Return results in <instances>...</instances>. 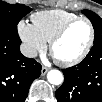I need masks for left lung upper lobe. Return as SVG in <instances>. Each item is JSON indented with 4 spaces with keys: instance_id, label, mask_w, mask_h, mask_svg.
<instances>
[{
    "instance_id": "obj_1",
    "label": "left lung upper lobe",
    "mask_w": 102,
    "mask_h": 102,
    "mask_svg": "<svg viewBox=\"0 0 102 102\" xmlns=\"http://www.w3.org/2000/svg\"><path fill=\"white\" fill-rule=\"evenodd\" d=\"M82 13H84L90 19L94 27V31H95L94 43L102 42V35H101L102 19L97 14L89 10H82Z\"/></svg>"
}]
</instances>
